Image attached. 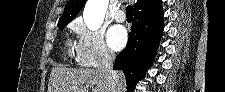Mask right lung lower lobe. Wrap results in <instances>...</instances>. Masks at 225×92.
Returning a JSON list of instances; mask_svg holds the SVG:
<instances>
[{
    "mask_svg": "<svg viewBox=\"0 0 225 92\" xmlns=\"http://www.w3.org/2000/svg\"><path fill=\"white\" fill-rule=\"evenodd\" d=\"M163 10L151 16H134L126 48L115 59L114 70H122L128 91H133L153 63L163 31Z\"/></svg>",
    "mask_w": 225,
    "mask_h": 92,
    "instance_id": "obj_1",
    "label": "right lung lower lobe"
}]
</instances>
